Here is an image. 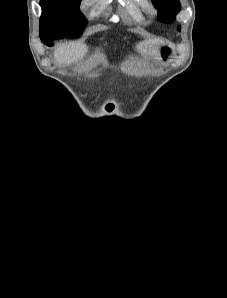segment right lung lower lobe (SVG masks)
I'll return each mask as SVG.
<instances>
[{
	"label": "right lung lower lobe",
	"mask_w": 227,
	"mask_h": 298,
	"mask_svg": "<svg viewBox=\"0 0 227 298\" xmlns=\"http://www.w3.org/2000/svg\"><path fill=\"white\" fill-rule=\"evenodd\" d=\"M55 38L51 35H46V36H42L41 40L44 44H46L47 46H52L53 45V40Z\"/></svg>",
	"instance_id": "1"
}]
</instances>
